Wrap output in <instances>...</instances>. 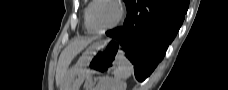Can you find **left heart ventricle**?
I'll use <instances>...</instances> for the list:
<instances>
[{"label":"left heart ventricle","instance_id":"1","mask_svg":"<svg viewBox=\"0 0 228 90\" xmlns=\"http://www.w3.org/2000/svg\"><path fill=\"white\" fill-rule=\"evenodd\" d=\"M116 16L117 9L112 3L99 1L91 10V24L95 29H104L115 20Z\"/></svg>","mask_w":228,"mask_h":90}]
</instances>
